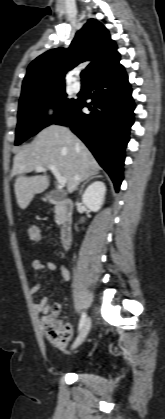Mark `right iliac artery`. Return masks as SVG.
I'll return each instance as SVG.
<instances>
[{
	"label": "right iliac artery",
	"mask_w": 165,
	"mask_h": 419,
	"mask_svg": "<svg viewBox=\"0 0 165 419\" xmlns=\"http://www.w3.org/2000/svg\"><path fill=\"white\" fill-rule=\"evenodd\" d=\"M85 320H86V314L83 312L80 318V322H79V328H78L79 331L82 329Z\"/></svg>",
	"instance_id": "obj_1"
}]
</instances>
